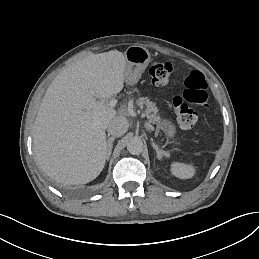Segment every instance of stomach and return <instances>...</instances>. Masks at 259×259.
Returning <instances> with one entry per match:
<instances>
[{
	"label": "stomach",
	"mask_w": 259,
	"mask_h": 259,
	"mask_svg": "<svg viewBox=\"0 0 259 259\" xmlns=\"http://www.w3.org/2000/svg\"><path fill=\"white\" fill-rule=\"evenodd\" d=\"M127 64L124 67V80L129 85H134L144 74V67L150 61L149 51L138 45L129 46L125 51Z\"/></svg>",
	"instance_id": "0dacf381"
}]
</instances>
